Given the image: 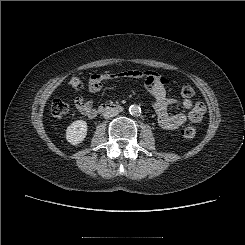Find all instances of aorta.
Listing matches in <instances>:
<instances>
[{"label":"aorta","mask_w":245,"mask_h":245,"mask_svg":"<svg viewBox=\"0 0 245 245\" xmlns=\"http://www.w3.org/2000/svg\"><path fill=\"white\" fill-rule=\"evenodd\" d=\"M129 113L131 114V115H133V116H137V115H139L140 113H141V108H140V106H138V105H131L130 107H129Z\"/></svg>","instance_id":"762f6f07"}]
</instances>
